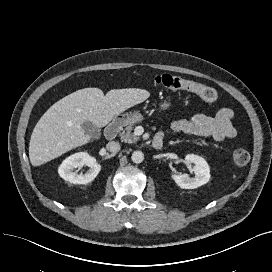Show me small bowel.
Instances as JSON below:
<instances>
[{
	"mask_svg": "<svg viewBox=\"0 0 272 272\" xmlns=\"http://www.w3.org/2000/svg\"><path fill=\"white\" fill-rule=\"evenodd\" d=\"M233 111L229 108L221 109L215 116L197 114L188 119H177L172 122L171 129L189 136L212 138L216 141L232 139L237 132L232 125ZM156 136L163 138L164 133Z\"/></svg>",
	"mask_w": 272,
	"mask_h": 272,
	"instance_id": "1",
	"label": "small bowel"
}]
</instances>
